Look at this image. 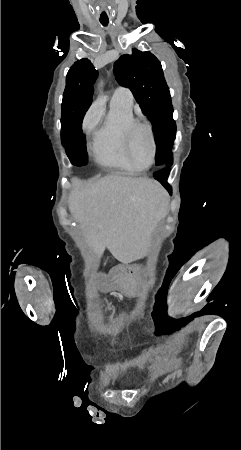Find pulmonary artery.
Segmentation results:
<instances>
[{
    "label": "pulmonary artery",
    "instance_id": "1",
    "mask_svg": "<svg viewBox=\"0 0 241 450\" xmlns=\"http://www.w3.org/2000/svg\"><path fill=\"white\" fill-rule=\"evenodd\" d=\"M133 97L131 92L128 89L116 90L112 96L113 101H123L127 103H132Z\"/></svg>",
    "mask_w": 241,
    "mask_h": 450
}]
</instances>
